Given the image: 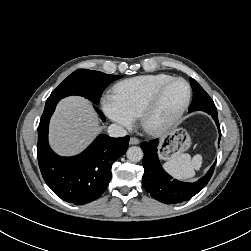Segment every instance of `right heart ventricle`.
Instances as JSON below:
<instances>
[{
    "instance_id": "1",
    "label": "right heart ventricle",
    "mask_w": 251,
    "mask_h": 251,
    "mask_svg": "<svg viewBox=\"0 0 251 251\" xmlns=\"http://www.w3.org/2000/svg\"><path fill=\"white\" fill-rule=\"evenodd\" d=\"M171 78L173 77L168 74H151L130 78L114 87V95L120 105L130 115L137 118L152 93Z\"/></svg>"
}]
</instances>
